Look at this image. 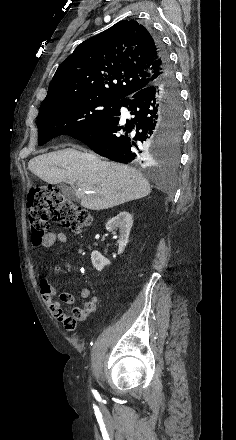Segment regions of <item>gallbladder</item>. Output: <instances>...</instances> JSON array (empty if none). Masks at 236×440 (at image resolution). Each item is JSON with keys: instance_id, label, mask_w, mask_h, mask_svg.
Segmentation results:
<instances>
[{"instance_id": "bac80fb5", "label": "gallbladder", "mask_w": 236, "mask_h": 440, "mask_svg": "<svg viewBox=\"0 0 236 440\" xmlns=\"http://www.w3.org/2000/svg\"><path fill=\"white\" fill-rule=\"evenodd\" d=\"M59 189L61 190V192L70 200H74L76 201L77 198L75 196V194L73 193L72 189L70 187H68L66 184L64 183H60L59 184Z\"/></svg>"}]
</instances>
